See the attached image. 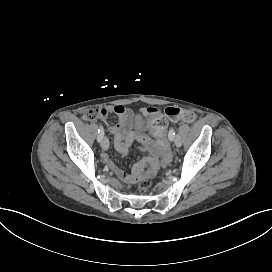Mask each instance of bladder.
Here are the masks:
<instances>
[{
    "label": "bladder",
    "mask_w": 272,
    "mask_h": 272,
    "mask_svg": "<svg viewBox=\"0 0 272 272\" xmlns=\"http://www.w3.org/2000/svg\"><path fill=\"white\" fill-rule=\"evenodd\" d=\"M139 121H140V118H136V119H135V122H139Z\"/></svg>",
    "instance_id": "1"
}]
</instances>
